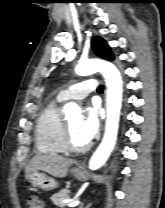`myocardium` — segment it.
<instances>
[{
	"mask_svg": "<svg viewBox=\"0 0 165 208\" xmlns=\"http://www.w3.org/2000/svg\"><path fill=\"white\" fill-rule=\"evenodd\" d=\"M62 144L66 152H71V153L84 152L89 148L88 144L79 146L73 142L71 131L66 121L64 122V126H63Z\"/></svg>",
	"mask_w": 165,
	"mask_h": 208,
	"instance_id": "f54148a6",
	"label": "myocardium"
}]
</instances>
